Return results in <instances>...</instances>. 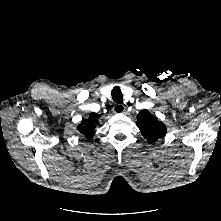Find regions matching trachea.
<instances>
[{"instance_id":"obj_1","label":"trachea","mask_w":221,"mask_h":221,"mask_svg":"<svg viewBox=\"0 0 221 221\" xmlns=\"http://www.w3.org/2000/svg\"><path fill=\"white\" fill-rule=\"evenodd\" d=\"M112 99L114 102L122 103L123 102V95L122 91L119 87H114L111 91Z\"/></svg>"}]
</instances>
